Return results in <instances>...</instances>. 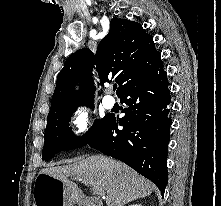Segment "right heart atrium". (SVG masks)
<instances>
[{"mask_svg":"<svg viewBox=\"0 0 221 206\" xmlns=\"http://www.w3.org/2000/svg\"><path fill=\"white\" fill-rule=\"evenodd\" d=\"M91 124L89 111L82 105H76L71 113L70 125L72 134L81 138L87 134Z\"/></svg>","mask_w":221,"mask_h":206,"instance_id":"obj_1","label":"right heart atrium"}]
</instances>
